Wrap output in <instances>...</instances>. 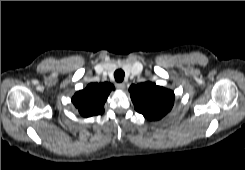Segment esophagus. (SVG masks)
<instances>
[{
	"label": "esophagus",
	"instance_id": "34e87169",
	"mask_svg": "<svg viewBox=\"0 0 245 170\" xmlns=\"http://www.w3.org/2000/svg\"><path fill=\"white\" fill-rule=\"evenodd\" d=\"M125 87H126V85H125L124 83H118V84H117V88H118L119 90H124Z\"/></svg>",
	"mask_w": 245,
	"mask_h": 170
}]
</instances>
